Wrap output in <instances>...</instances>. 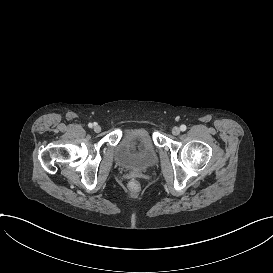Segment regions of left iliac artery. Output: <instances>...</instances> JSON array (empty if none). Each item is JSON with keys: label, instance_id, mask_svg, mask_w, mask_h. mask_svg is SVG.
Returning a JSON list of instances; mask_svg holds the SVG:
<instances>
[{"label": "left iliac artery", "instance_id": "44dca946", "mask_svg": "<svg viewBox=\"0 0 273 273\" xmlns=\"http://www.w3.org/2000/svg\"><path fill=\"white\" fill-rule=\"evenodd\" d=\"M180 129H181V131H185L186 130V125H181Z\"/></svg>", "mask_w": 273, "mask_h": 273}]
</instances>
